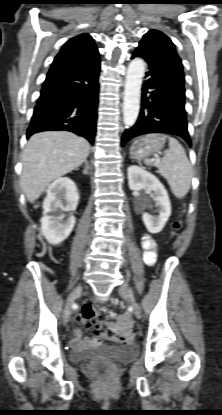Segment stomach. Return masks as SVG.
<instances>
[{"instance_id":"1","label":"stomach","mask_w":222,"mask_h":415,"mask_svg":"<svg viewBox=\"0 0 222 415\" xmlns=\"http://www.w3.org/2000/svg\"><path fill=\"white\" fill-rule=\"evenodd\" d=\"M164 144L165 140L158 137H140L131 145L130 156L131 158L140 161L151 154L159 153L164 147Z\"/></svg>"}]
</instances>
